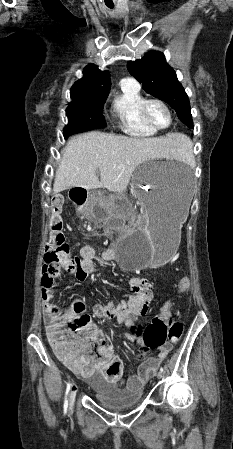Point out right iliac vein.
Instances as JSON below:
<instances>
[{
	"mask_svg": "<svg viewBox=\"0 0 233 449\" xmlns=\"http://www.w3.org/2000/svg\"><path fill=\"white\" fill-rule=\"evenodd\" d=\"M76 392H77V389L76 388H72V390H71V392L69 394V406L70 407H73V405H74Z\"/></svg>",
	"mask_w": 233,
	"mask_h": 449,
	"instance_id": "1",
	"label": "right iliac vein"
}]
</instances>
